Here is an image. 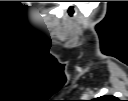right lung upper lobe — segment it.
Instances as JSON below:
<instances>
[{
	"label": "right lung upper lobe",
	"mask_w": 128,
	"mask_h": 101,
	"mask_svg": "<svg viewBox=\"0 0 128 101\" xmlns=\"http://www.w3.org/2000/svg\"><path fill=\"white\" fill-rule=\"evenodd\" d=\"M97 99L100 100V101H117L116 97H114L112 95L101 96Z\"/></svg>",
	"instance_id": "right-lung-upper-lobe-1"
}]
</instances>
